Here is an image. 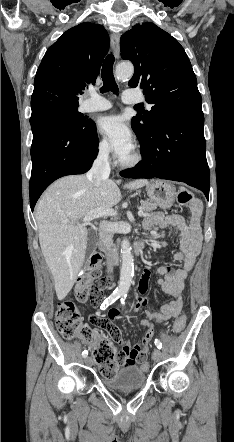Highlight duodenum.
Instances as JSON below:
<instances>
[{"instance_id":"duodenum-1","label":"duodenum","mask_w":234,"mask_h":442,"mask_svg":"<svg viewBox=\"0 0 234 442\" xmlns=\"http://www.w3.org/2000/svg\"><path fill=\"white\" fill-rule=\"evenodd\" d=\"M101 249H102V251H104L105 253H107L108 257L111 259V261H112L113 263H115V264L118 263V261H119L118 256H117L116 254L110 252V251L107 249V247H106V245H105L104 242L101 243ZM143 249H144V244H143V242H137V243L134 245V252H135L136 255H140V254H142Z\"/></svg>"}]
</instances>
